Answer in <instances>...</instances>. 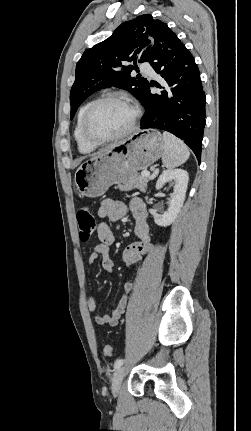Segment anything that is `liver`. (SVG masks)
I'll return each instance as SVG.
<instances>
[{
    "instance_id": "6515ba94",
    "label": "liver",
    "mask_w": 251,
    "mask_h": 431,
    "mask_svg": "<svg viewBox=\"0 0 251 431\" xmlns=\"http://www.w3.org/2000/svg\"><path fill=\"white\" fill-rule=\"evenodd\" d=\"M115 145H112V146H110V147H108V148H106V149H104V150H102V151H100L97 155H95L94 157H96V156H99V155H102L103 153H105L106 151H108L109 149H111L112 147H114Z\"/></svg>"
}]
</instances>
